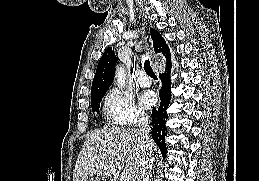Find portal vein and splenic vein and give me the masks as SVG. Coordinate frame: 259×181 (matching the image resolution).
Wrapping results in <instances>:
<instances>
[{
	"mask_svg": "<svg viewBox=\"0 0 259 181\" xmlns=\"http://www.w3.org/2000/svg\"><path fill=\"white\" fill-rule=\"evenodd\" d=\"M129 174L127 172H122L120 175V181H129Z\"/></svg>",
	"mask_w": 259,
	"mask_h": 181,
	"instance_id": "obj_1",
	"label": "portal vein and splenic vein"
}]
</instances>
